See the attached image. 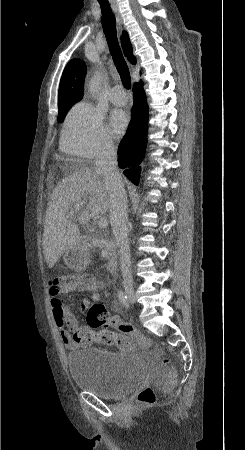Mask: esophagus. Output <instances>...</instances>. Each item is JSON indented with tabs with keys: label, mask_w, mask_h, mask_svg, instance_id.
Here are the masks:
<instances>
[{
	"label": "esophagus",
	"mask_w": 245,
	"mask_h": 450,
	"mask_svg": "<svg viewBox=\"0 0 245 450\" xmlns=\"http://www.w3.org/2000/svg\"><path fill=\"white\" fill-rule=\"evenodd\" d=\"M111 6H112V9H113V11L115 13V16H116V21H117L118 28L121 29L122 18H121L120 12H119V7H118V5L116 3H111Z\"/></svg>",
	"instance_id": "esophagus-1"
}]
</instances>
